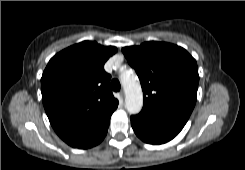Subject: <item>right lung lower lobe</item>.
<instances>
[{
	"label": "right lung lower lobe",
	"mask_w": 245,
	"mask_h": 170,
	"mask_svg": "<svg viewBox=\"0 0 245 170\" xmlns=\"http://www.w3.org/2000/svg\"><path fill=\"white\" fill-rule=\"evenodd\" d=\"M107 129H108V128H107ZM107 129H105V130L102 132V134H101L95 141H93L90 145H88V146L85 147V148H90V147H93V146L99 144V143L104 139V137L106 136V134H107Z\"/></svg>",
	"instance_id": "1"
}]
</instances>
